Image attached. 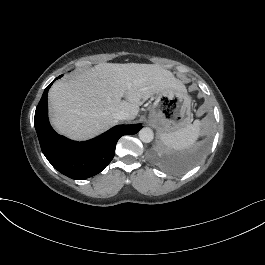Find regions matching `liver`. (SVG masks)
Wrapping results in <instances>:
<instances>
[{
  "instance_id": "liver-1",
  "label": "liver",
  "mask_w": 265,
  "mask_h": 265,
  "mask_svg": "<svg viewBox=\"0 0 265 265\" xmlns=\"http://www.w3.org/2000/svg\"><path fill=\"white\" fill-rule=\"evenodd\" d=\"M157 94L183 97L186 90L157 65L103 63L73 80L56 82L48 99L55 128L83 139L117 123L112 115L116 111H126L128 120H134L140 106Z\"/></svg>"
}]
</instances>
